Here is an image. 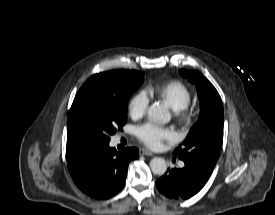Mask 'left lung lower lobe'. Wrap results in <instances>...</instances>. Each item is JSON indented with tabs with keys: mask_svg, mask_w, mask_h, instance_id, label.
Here are the masks:
<instances>
[{
	"mask_svg": "<svg viewBox=\"0 0 275 215\" xmlns=\"http://www.w3.org/2000/svg\"><path fill=\"white\" fill-rule=\"evenodd\" d=\"M212 171L185 163L183 168L168 169L156 181L157 189L170 199H189L197 194L210 178Z\"/></svg>",
	"mask_w": 275,
	"mask_h": 215,
	"instance_id": "left-lung-lower-lobe-1",
	"label": "left lung lower lobe"
}]
</instances>
